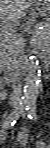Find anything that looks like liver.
<instances>
[{"label":"liver","mask_w":50,"mask_h":148,"mask_svg":"<svg viewBox=\"0 0 50 148\" xmlns=\"http://www.w3.org/2000/svg\"><path fill=\"white\" fill-rule=\"evenodd\" d=\"M33 4V0H1V18L6 21H15L24 15L26 9Z\"/></svg>","instance_id":"obj_1"}]
</instances>
